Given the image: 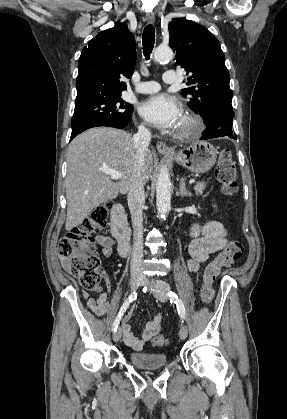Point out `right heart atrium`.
<instances>
[{"instance_id": "1", "label": "right heart atrium", "mask_w": 287, "mask_h": 419, "mask_svg": "<svg viewBox=\"0 0 287 419\" xmlns=\"http://www.w3.org/2000/svg\"><path fill=\"white\" fill-rule=\"evenodd\" d=\"M141 130L146 131L147 130L146 126L145 125H141Z\"/></svg>"}]
</instances>
